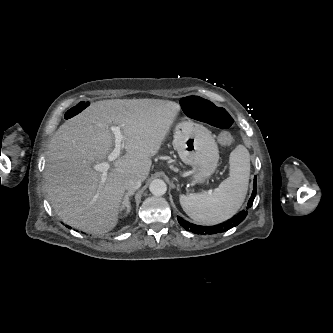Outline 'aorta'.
I'll use <instances>...</instances> for the list:
<instances>
[{"mask_svg": "<svg viewBox=\"0 0 333 333\" xmlns=\"http://www.w3.org/2000/svg\"><path fill=\"white\" fill-rule=\"evenodd\" d=\"M150 192L155 196L164 195L167 191L166 183L161 179H155L150 183Z\"/></svg>", "mask_w": 333, "mask_h": 333, "instance_id": "1", "label": "aorta"}]
</instances>
